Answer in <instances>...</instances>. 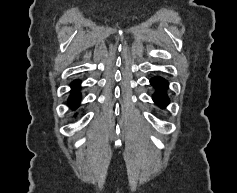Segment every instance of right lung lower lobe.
Wrapping results in <instances>:
<instances>
[{
  "instance_id": "obj_1",
  "label": "right lung lower lobe",
  "mask_w": 237,
  "mask_h": 193,
  "mask_svg": "<svg viewBox=\"0 0 237 193\" xmlns=\"http://www.w3.org/2000/svg\"><path fill=\"white\" fill-rule=\"evenodd\" d=\"M79 83L80 82L78 80L72 83V94L69 97V103L73 109H75L80 102L81 94L78 91Z\"/></svg>"
}]
</instances>
